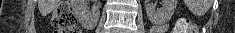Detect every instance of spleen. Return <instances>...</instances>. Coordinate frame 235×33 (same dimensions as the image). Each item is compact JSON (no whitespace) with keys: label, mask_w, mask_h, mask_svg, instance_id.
Returning <instances> with one entry per match:
<instances>
[{"label":"spleen","mask_w":235,"mask_h":33,"mask_svg":"<svg viewBox=\"0 0 235 33\" xmlns=\"http://www.w3.org/2000/svg\"><path fill=\"white\" fill-rule=\"evenodd\" d=\"M208 9V6H203V10L206 11Z\"/></svg>","instance_id":"obj_1"}]
</instances>
